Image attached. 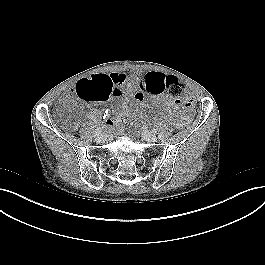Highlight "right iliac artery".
I'll use <instances>...</instances> for the list:
<instances>
[{"label": "right iliac artery", "instance_id": "82829eb1", "mask_svg": "<svg viewBox=\"0 0 265 265\" xmlns=\"http://www.w3.org/2000/svg\"><path fill=\"white\" fill-rule=\"evenodd\" d=\"M102 129H103V127H99V128H97V129L95 130L93 136H94V137L99 136V135L101 134V132H102Z\"/></svg>", "mask_w": 265, "mask_h": 265}]
</instances>
